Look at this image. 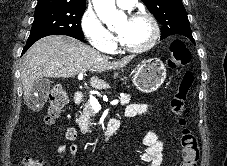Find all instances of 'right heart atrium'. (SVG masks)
<instances>
[{
	"mask_svg": "<svg viewBox=\"0 0 227 166\" xmlns=\"http://www.w3.org/2000/svg\"><path fill=\"white\" fill-rule=\"evenodd\" d=\"M80 28L85 38L94 48L110 50L113 47L112 35L93 11L86 10L83 13Z\"/></svg>",
	"mask_w": 227,
	"mask_h": 166,
	"instance_id": "right-heart-atrium-1",
	"label": "right heart atrium"
}]
</instances>
